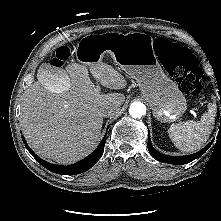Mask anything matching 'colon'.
I'll list each match as a JSON object with an SVG mask.
<instances>
[{
  "mask_svg": "<svg viewBox=\"0 0 221 221\" xmlns=\"http://www.w3.org/2000/svg\"><path fill=\"white\" fill-rule=\"evenodd\" d=\"M156 53L163 57V63L169 74L176 80L181 91L189 96H198L202 91L203 72L190 50L158 38L154 45ZM70 49L60 46L51 64L61 67L70 57Z\"/></svg>",
  "mask_w": 221,
  "mask_h": 221,
  "instance_id": "5ec220e1",
  "label": "colon"
}]
</instances>
